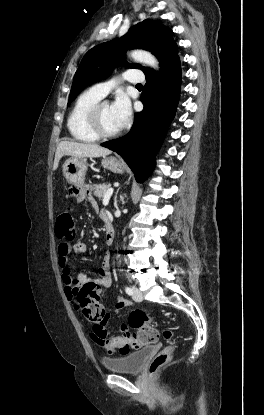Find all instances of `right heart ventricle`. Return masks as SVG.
<instances>
[{"mask_svg": "<svg viewBox=\"0 0 264 415\" xmlns=\"http://www.w3.org/2000/svg\"><path fill=\"white\" fill-rule=\"evenodd\" d=\"M100 100L101 97L91 90L83 92L76 99L67 119V128L74 140L83 143H92L98 140L87 126L86 114Z\"/></svg>", "mask_w": 264, "mask_h": 415, "instance_id": "e07e8e85", "label": "right heart ventricle"}]
</instances>
